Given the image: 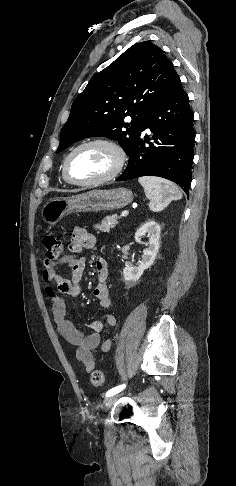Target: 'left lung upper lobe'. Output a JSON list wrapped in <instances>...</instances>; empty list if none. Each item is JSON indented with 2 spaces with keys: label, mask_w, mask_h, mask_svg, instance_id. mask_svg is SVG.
Here are the masks:
<instances>
[{
  "label": "left lung upper lobe",
  "mask_w": 236,
  "mask_h": 486,
  "mask_svg": "<svg viewBox=\"0 0 236 486\" xmlns=\"http://www.w3.org/2000/svg\"><path fill=\"white\" fill-rule=\"evenodd\" d=\"M178 79L158 46L150 41L134 44L94 75L76 97L56 153L78 140L104 136L118 140L129 155L152 107ZM127 116L131 122H126Z\"/></svg>",
  "instance_id": "5c2ea615"
}]
</instances>
